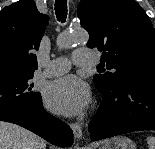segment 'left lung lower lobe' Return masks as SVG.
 Wrapping results in <instances>:
<instances>
[{"label":"left lung lower lobe","instance_id":"obj_1","mask_svg":"<svg viewBox=\"0 0 155 149\" xmlns=\"http://www.w3.org/2000/svg\"><path fill=\"white\" fill-rule=\"evenodd\" d=\"M98 88L103 101L88 125L92 141L155 130V74L137 75L110 89Z\"/></svg>","mask_w":155,"mask_h":149}]
</instances>
